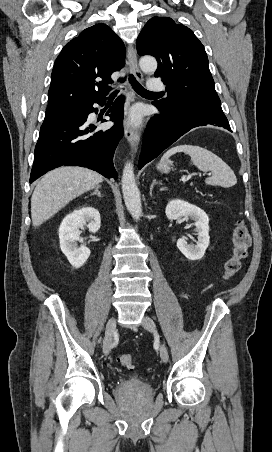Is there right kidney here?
<instances>
[{"mask_svg": "<svg viewBox=\"0 0 272 452\" xmlns=\"http://www.w3.org/2000/svg\"><path fill=\"white\" fill-rule=\"evenodd\" d=\"M100 213L93 207H83L68 214L59 227L60 248L70 264L80 268L89 258L90 249L84 244L77 246V241L83 243L79 228L87 226L91 233L100 229Z\"/></svg>", "mask_w": 272, "mask_h": 452, "instance_id": "obj_1", "label": "right kidney"}]
</instances>
